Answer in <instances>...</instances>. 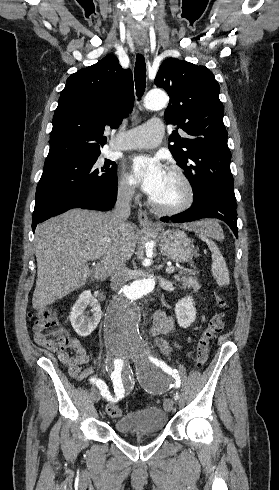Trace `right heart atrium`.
<instances>
[{
    "mask_svg": "<svg viewBox=\"0 0 279 490\" xmlns=\"http://www.w3.org/2000/svg\"><path fill=\"white\" fill-rule=\"evenodd\" d=\"M115 191L117 198L122 201H130L136 196L135 189L123 174L117 176Z\"/></svg>",
    "mask_w": 279,
    "mask_h": 490,
    "instance_id": "1",
    "label": "right heart atrium"
}]
</instances>
